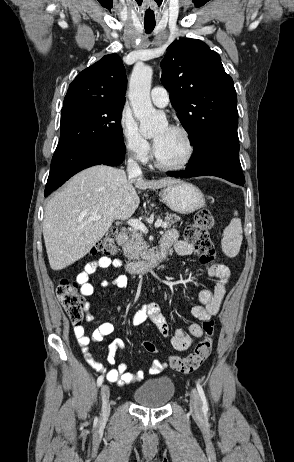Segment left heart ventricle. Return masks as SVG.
<instances>
[{
  "mask_svg": "<svg viewBox=\"0 0 294 462\" xmlns=\"http://www.w3.org/2000/svg\"><path fill=\"white\" fill-rule=\"evenodd\" d=\"M159 159L166 164H175L187 154V143L184 136L167 125L157 128L152 134Z\"/></svg>",
  "mask_w": 294,
  "mask_h": 462,
  "instance_id": "1",
  "label": "left heart ventricle"
}]
</instances>
